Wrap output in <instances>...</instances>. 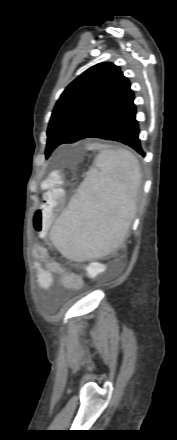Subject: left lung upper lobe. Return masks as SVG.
Instances as JSON below:
<instances>
[{
  "mask_svg": "<svg viewBox=\"0 0 177 440\" xmlns=\"http://www.w3.org/2000/svg\"><path fill=\"white\" fill-rule=\"evenodd\" d=\"M134 97L129 80L113 63H99L76 78L60 96L47 130L46 158L109 119Z\"/></svg>",
  "mask_w": 177,
  "mask_h": 440,
  "instance_id": "obj_1",
  "label": "left lung upper lobe"
}]
</instances>
